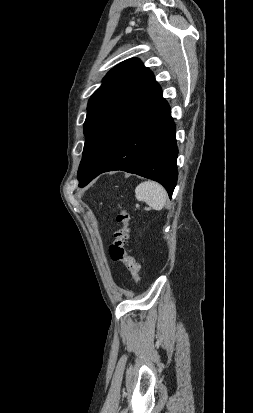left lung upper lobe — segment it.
<instances>
[{
  "label": "left lung upper lobe",
  "mask_w": 253,
  "mask_h": 413,
  "mask_svg": "<svg viewBox=\"0 0 253 413\" xmlns=\"http://www.w3.org/2000/svg\"><path fill=\"white\" fill-rule=\"evenodd\" d=\"M161 99L160 86L139 59L126 60L108 72L88 102L79 184L100 169Z\"/></svg>",
  "instance_id": "5c2ea615"
}]
</instances>
